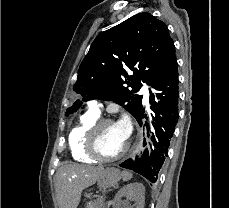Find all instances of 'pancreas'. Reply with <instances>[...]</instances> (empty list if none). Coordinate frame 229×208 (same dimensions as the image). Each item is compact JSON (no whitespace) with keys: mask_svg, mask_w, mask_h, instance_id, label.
I'll return each instance as SVG.
<instances>
[{"mask_svg":"<svg viewBox=\"0 0 229 208\" xmlns=\"http://www.w3.org/2000/svg\"><path fill=\"white\" fill-rule=\"evenodd\" d=\"M86 208H105V198H97L93 202H88Z\"/></svg>","mask_w":229,"mask_h":208,"instance_id":"pancreas-1","label":"pancreas"}]
</instances>
